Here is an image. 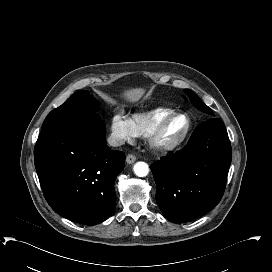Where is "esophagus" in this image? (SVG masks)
<instances>
[{"label":"esophagus","mask_w":272,"mask_h":272,"mask_svg":"<svg viewBox=\"0 0 272 272\" xmlns=\"http://www.w3.org/2000/svg\"><path fill=\"white\" fill-rule=\"evenodd\" d=\"M135 161H136V157H135L134 155L128 154V155L126 156V162H127L128 164H132V163H134Z\"/></svg>","instance_id":"esophagus-1"}]
</instances>
